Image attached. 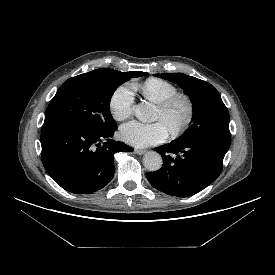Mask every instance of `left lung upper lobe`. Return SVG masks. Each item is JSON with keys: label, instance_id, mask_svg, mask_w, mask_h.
<instances>
[{"label": "left lung upper lobe", "instance_id": "5c2ea615", "mask_svg": "<svg viewBox=\"0 0 275 275\" xmlns=\"http://www.w3.org/2000/svg\"><path fill=\"white\" fill-rule=\"evenodd\" d=\"M155 76L179 85L194 104L192 125L175 141L230 146L229 112L220 94L211 84L182 73H163Z\"/></svg>", "mask_w": 275, "mask_h": 275}]
</instances>
